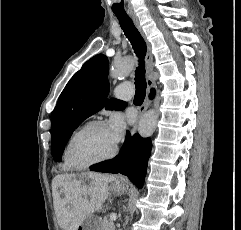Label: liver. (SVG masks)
I'll list each match as a JSON object with an SVG mask.
<instances>
[{
    "instance_id": "1",
    "label": "liver",
    "mask_w": 241,
    "mask_h": 230,
    "mask_svg": "<svg viewBox=\"0 0 241 230\" xmlns=\"http://www.w3.org/2000/svg\"><path fill=\"white\" fill-rule=\"evenodd\" d=\"M91 181L81 184L75 175H57L52 181L54 206L63 230H77L83 221L99 210L109 195L113 175L88 172ZM69 204L71 206H69Z\"/></svg>"
}]
</instances>
